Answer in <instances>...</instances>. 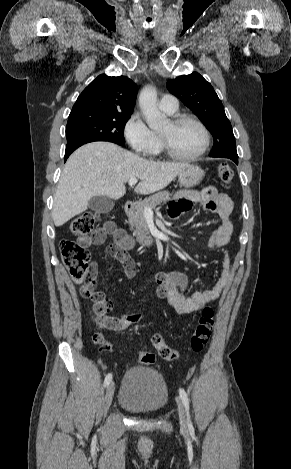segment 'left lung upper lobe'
I'll return each instance as SVG.
<instances>
[{"label": "left lung upper lobe", "mask_w": 291, "mask_h": 469, "mask_svg": "<svg viewBox=\"0 0 291 469\" xmlns=\"http://www.w3.org/2000/svg\"><path fill=\"white\" fill-rule=\"evenodd\" d=\"M168 90L195 112L214 138L211 157H238L235 137L223 104L209 82L199 73L182 75L167 82Z\"/></svg>", "instance_id": "left-lung-upper-lobe-1"}]
</instances>
